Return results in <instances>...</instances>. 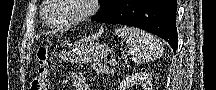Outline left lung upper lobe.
I'll use <instances>...</instances> for the list:
<instances>
[{"label": "left lung upper lobe", "mask_w": 216, "mask_h": 90, "mask_svg": "<svg viewBox=\"0 0 216 90\" xmlns=\"http://www.w3.org/2000/svg\"><path fill=\"white\" fill-rule=\"evenodd\" d=\"M100 3L102 4V8L100 9L99 13H102L104 11H107L114 6H116L121 0H99Z\"/></svg>", "instance_id": "left-lung-upper-lobe-1"}]
</instances>
